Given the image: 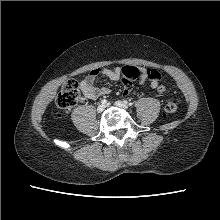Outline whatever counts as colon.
Returning <instances> with one entry per match:
<instances>
[{
  "instance_id": "1",
  "label": "colon",
  "mask_w": 220,
  "mask_h": 220,
  "mask_svg": "<svg viewBox=\"0 0 220 220\" xmlns=\"http://www.w3.org/2000/svg\"><path fill=\"white\" fill-rule=\"evenodd\" d=\"M140 71L133 66H126L121 70V79L124 84V93H128L134 82L138 79ZM147 75L149 79H160L159 72L155 69H148ZM160 93L167 92L168 88L164 85L157 87ZM80 99V88L76 80H68L61 88L56 97V105L61 110H69L77 104ZM178 109V104L175 100L166 102L164 106L165 114H174Z\"/></svg>"
}]
</instances>
